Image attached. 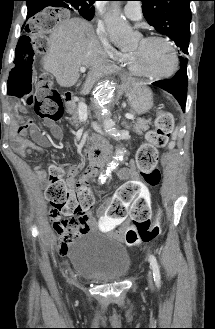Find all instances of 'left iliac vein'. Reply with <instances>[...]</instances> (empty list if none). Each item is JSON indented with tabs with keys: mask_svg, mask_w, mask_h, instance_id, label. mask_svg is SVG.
<instances>
[{
	"mask_svg": "<svg viewBox=\"0 0 215 329\" xmlns=\"http://www.w3.org/2000/svg\"><path fill=\"white\" fill-rule=\"evenodd\" d=\"M148 281H149L150 287H152V274L150 271L148 272Z\"/></svg>",
	"mask_w": 215,
	"mask_h": 329,
	"instance_id": "left-iliac-vein-1",
	"label": "left iliac vein"
}]
</instances>
